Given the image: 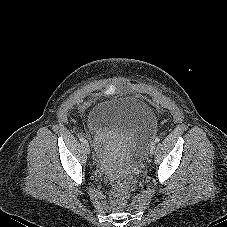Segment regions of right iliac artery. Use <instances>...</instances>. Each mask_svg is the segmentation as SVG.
Here are the masks:
<instances>
[{
	"instance_id": "1",
	"label": "right iliac artery",
	"mask_w": 227,
	"mask_h": 227,
	"mask_svg": "<svg viewBox=\"0 0 227 227\" xmlns=\"http://www.w3.org/2000/svg\"><path fill=\"white\" fill-rule=\"evenodd\" d=\"M80 141H81V142H84L85 139H84L83 137H80Z\"/></svg>"
}]
</instances>
